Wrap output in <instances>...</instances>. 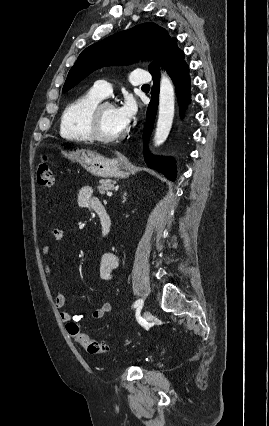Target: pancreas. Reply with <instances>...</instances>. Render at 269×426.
<instances>
[{"label":"pancreas","mask_w":269,"mask_h":426,"mask_svg":"<svg viewBox=\"0 0 269 426\" xmlns=\"http://www.w3.org/2000/svg\"><path fill=\"white\" fill-rule=\"evenodd\" d=\"M116 181L110 179H101L99 180V185L97 187L100 194H105V192L109 190H113L115 188Z\"/></svg>","instance_id":"cf45deb5"}]
</instances>
